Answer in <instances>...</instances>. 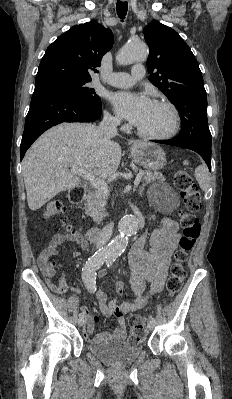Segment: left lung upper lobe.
Masks as SVG:
<instances>
[{
	"instance_id": "left-lung-upper-lobe-1",
	"label": "left lung upper lobe",
	"mask_w": 232,
	"mask_h": 399,
	"mask_svg": "<svg viewBox=\"0 0 232 399\" xmlns=\"http://www.w3.org/2000/svg\"><path fill=\"white\" fill-rule=\"evenodd\" d=\"M149 46V81L167 96L181 117L175 139L211 149L207 96L202 73L191 49L180 35L153 20L143 30Z\"/></svg>"
}]
</instances>
